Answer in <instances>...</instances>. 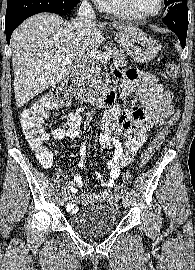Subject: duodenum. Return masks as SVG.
Segmentation results:
<instances>
[{
  "instance_id": "1",
  "label": "duodenum",
  "mask_w": 195,
  "mask_h": 270,
  "mask_svg": "<svg viewBox=\"0 0 195 270\" xmlns=\"http://www.w3.org/2000/svg\"><path fill=\"white\" fill-rule=\"evenodd\" d=\"M82 66L78 65L72 73V79L76 82V90L78 98L83 102L95 101L100 106L109 107L115 102V93L113 90L105 91L99 95L93 90L85 87L81 82Z\"/></svg>"
}]
</instances>
